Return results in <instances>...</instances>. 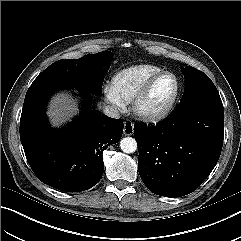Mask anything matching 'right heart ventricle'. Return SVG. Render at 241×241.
<instances>
[{
	"label": "right heart ventricle",
	"mask_w": 241,
	"mask_h": 241,
	"mask_svg": "<svg viewBox=\"0 0 241 241\" xmlns=\"http://www.w3.org/2000/svg\"><path fill=\"white\" fill-rule=\"evenodd\" d=\"M163 69L152 64H139L114 74L111 85L124 103L131 102L145 83Z\"/></svg>",
	"instance_id": "1"
}]
</instances>
